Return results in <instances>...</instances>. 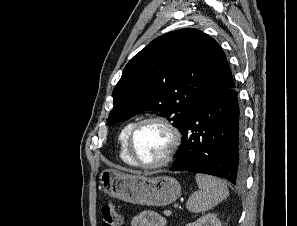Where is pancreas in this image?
Segmentation results:
<instances>
[{"label":"pancreas","instance_id":"cf45deb5","mask_svg":"<svg viewBox=\"0 0 297 226\" xmlns=\"http://www.w3.org/2000/svg\"><path fill=\"white\" fill-rule=\"evenodd\" d=\"M163 213L165 216H170V214H171V212L169 210H165Z\"/></svg>","mask_w":297,"mask_h":226}]
</instances>
